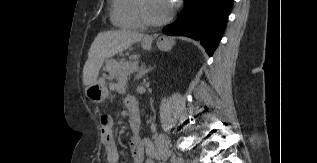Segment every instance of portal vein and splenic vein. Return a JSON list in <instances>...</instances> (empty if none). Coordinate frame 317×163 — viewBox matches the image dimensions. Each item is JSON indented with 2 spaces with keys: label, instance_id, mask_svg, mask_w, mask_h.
Here are the masks:
<instances>
[{
  "label": "portal vein and splenic vein",
  "instance_id": "obj_1",
  "mask_svg": "<svg viewBox=\"0 0 317 163\" xmlns=\"http://www.w3.org/2000/svg\"><path fill=\"white\" fill-rule=\"evenodd\" d=\"M136 68H137L136 66H133L132 68H130V69H128V70L122 72L121 75H120V77L129 75L130 73L134 72V70H136Z\"/></svg>",
  "mask_w": 317,
  "mask_h": 163
}]
</instances>
